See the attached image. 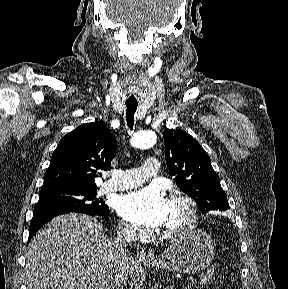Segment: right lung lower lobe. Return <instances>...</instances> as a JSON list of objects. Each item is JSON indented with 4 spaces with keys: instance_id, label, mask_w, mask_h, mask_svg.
Masks as SVG:
<instances>
[{
    "instance_id": "98d812e1",
    "label": "right lung lower lobe",
    "mask_w": 288,
    "mask_h": 289,
    "mask_svg": "<svg viewBox=\"0 0 288 289\" xmlns=\"http://www.w3.org/2000/svg\"><path fill=\"white\" fill-rule=\"evenodd\" d=\"M71 211H62V210H50V211H41V212H35L33 214V219L30 224V229H29V240L35 235V233L38 231L40 227H42L45 223H47L49 220L52 218L65 214V213H70ZM109 214V208L106 210L99 212L94 215L98 216H104L106 217ZM91 215V214H89ZM29 243V241H28Z\"/></svg>"
}]
</instances>
